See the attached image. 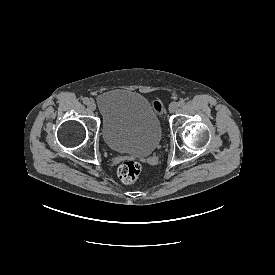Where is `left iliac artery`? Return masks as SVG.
<instances>
[{
  "label": "left iliac artery",
  "mask_w": 275,
  "mask_h": 275,
  "mask_svg": "<svg viewBox=\"0 0 275 275\" xmlns=\"http://www.w3.org/2000/svg\"><path fill=\"white\" fill-rule=\"evenodd\" d=\"M185 104V101L184 100H180L179 102H178V105L179 106H183Z\"/></svg>",
  "instance_id": "1"
}]
</instances>
